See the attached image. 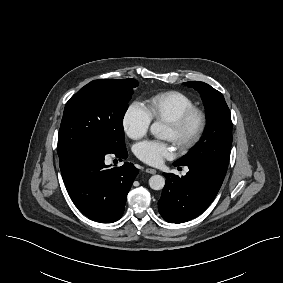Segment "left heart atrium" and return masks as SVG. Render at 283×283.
Here are the masks:
<instances>
[{"label":"left heart atrium","mask_w":283,"mask_h":283,"mask_svg":"<svg viewBox=\"0 0 283 283\" xmlns=\"http://www.w3.org/2000/svg\"><path fill=\"white\" fill-rule=\"evenodd\" d=\"M136 156L149 165H160L165 159L173 154L170 144L157 140H146L135 146Z\"/></svg>","instance_id":"left-heart-atrium-1"}]
</instances>
